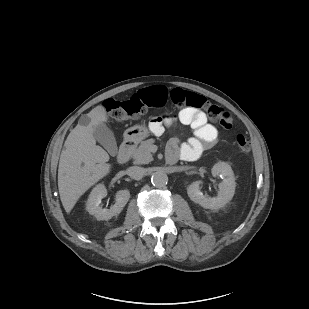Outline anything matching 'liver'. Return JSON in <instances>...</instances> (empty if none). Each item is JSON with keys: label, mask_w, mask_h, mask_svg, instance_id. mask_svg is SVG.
<instances>
[{"label": "liver", "mask_w": 309, "mask_h": 309, "mask_svg": "<svg viewBox=\"0 0 309 309\" xmlns=\"http://www.w3.org/2000/svg\"><path fill=\"white\" fill-rule=\"evenodd\" d=\"M108 120L103 106L86 115V122L78 124L68 135L58 167V189L62 205L70 213L78 199L111 170L110 157L96 145L94 129Z\"/></svg>", "instance_id": "1"}]
</instances>
